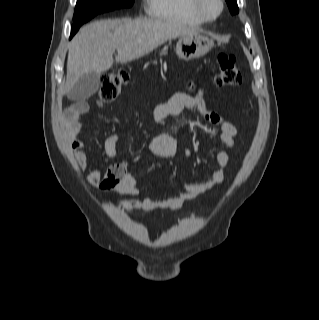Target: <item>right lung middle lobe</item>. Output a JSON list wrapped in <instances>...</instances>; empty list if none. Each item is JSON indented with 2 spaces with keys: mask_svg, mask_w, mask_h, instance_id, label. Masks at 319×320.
<instances>
[{
  "mask_svg": "<svg viewBox=\"0 0 319 320\" xmlns=\"http://www.w3.org/2000/svg\"><path fill=\"white\" fill-rule=\"evenodd\" d=\"M133 2L134 0H77L71 32H76L83 23L99 13L119 8H129L133 5Z\"/></svg>",
  "mask_w": 319,
  "mask_h": 320,
  "instance_id": "right-lung-middle-lobe-1",
  "label": "right lung middle lobe"
}]
</instances>
